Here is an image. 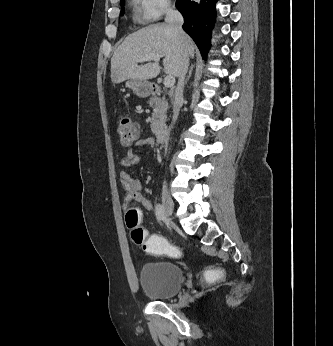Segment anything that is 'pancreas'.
Wrapping results in <instances>:
<instances>
[{"mask_svg": "<svg viewBox=\"0 0 333 346\" xmlns=\"http://www.w3.org/2000/svg\"><path fill=\"white\" fill-rule=\"evenodd\" d=\"M149 104L153 108L152 118L150 120L151 130L156 134L165 125L168 103L164 98L152 97Z\"/></svg>", "mask_w": 333, "mask_h": 346, "instance_id": "obj_1", "label": "pancreas"}]
</instances>
